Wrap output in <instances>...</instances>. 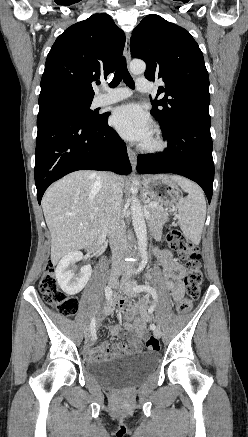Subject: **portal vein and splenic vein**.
<instances>
[{"instance_id":"obj_1","label":"portal vein and splenic vein","mask_w":248,"mask_h":437,"mask_svg":"<svg viewBox=\"0 0 248 437\" xmlns=\"http://www.w3.org/2000/svg\"><path fill=\"white\" fill-rule=\"evenodd\" d=\"M156 205H157V204L154 203V202L149 203V206H151V207H154V206H156ZM90 216H91V217H94V214L92 213Z\"/></svg>"}]
</instances>
